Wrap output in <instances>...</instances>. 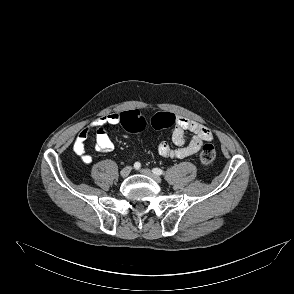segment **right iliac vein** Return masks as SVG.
<instances>
[{
    "label": "right iliac vein",
    "instance_id": "63e3f726",
    "mask_svg": "<svg viewBox=\"0 0 294 294\" xmlns=\"http://www.w3.org/2000/svg\"><path fill=\"white\" fill-rule=\"evenodd\" d=\"M131 169L132 168L130 166L124 167L120 172L121 177L126 178L130 174Z\"/></svg>",
    "mask_w": 294,
    "mask_h": 294
}]
</instances>
